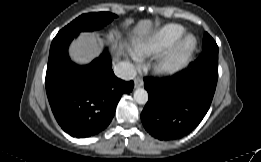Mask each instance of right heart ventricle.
Wrapping results in <instances>:
<instances>
[{
    "instance_id": "right-heart-ventricle-1",
    "label": "right heart ventricle",
    "mask_w": 261,
    "mask_h": 162,
    "mask_svg": "<svg viewBox=\"0 0 261 162\" xmlns=\"http://www.w3.org/2000/svg\"><path fill=\"white\" fill-rule=\"evenodd\" d=\"M184 33L185 29L180 25H165L138 41L134 46V51L141 57L158 54L170 48Z\"/></svg>"
}]
</instances>
